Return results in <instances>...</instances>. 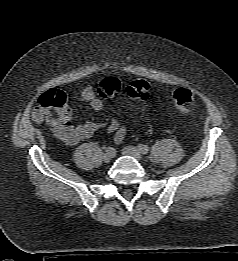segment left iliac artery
I'll return each instance as SVG.
<instances>
[{
    "label": "left iliac artery",
    "mask_w": 238,
    "mask_h": 261,
    "mask_svg": "<svg viewBox=\"0 0 238 261\" xmlns=\"http://www.w3.org/2000/svg\"><path fill=\"white\" fill-rule=\"evenodd\" d=\"M138 150L142 154H147L149 152V147L147 145L141 144V145L138 146Z\"/></svg>",
    "instance_id": "1"
}]
</instances>
